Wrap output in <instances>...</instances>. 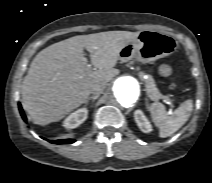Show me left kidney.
<instances>
[{
  "mask_svg": "<svg viewBox=\"0 0 212 183\" xmlns=\"http://www.w3.org/2000/svg\"><path fill=\"white\" fill-rule=\"evenodd\" d=\"M134 119L142 132L149 133L152 131L151 123L141 110L134 112Z\"/></svg>",
  "mask_w": 212,
  "mask_h": 183,
  "instance_id": "left-kidney-1",
  "label": "left kidney"
}]
</instances>
